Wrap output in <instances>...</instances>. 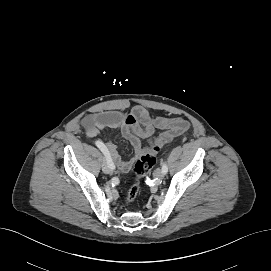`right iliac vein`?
<instances>
[{
    "label": "right iliac vein",
    "mask_w": 271,
    "mask_h": 271,
    "mask_svg": "<svg viewBox=\"0 0 271 271\" xmlns=\"http://www.w3.org/2000/svg\"><path fill=\"white\" fill-rule=\"evenodd\" d=\"M102 170L104 173L106 174H111L112 173V170L111 168L109 167L108 163L107 162H104L103 165H102Z\"/></svg>",
    "instance_id": "63e3f726"
}]
</instances>
